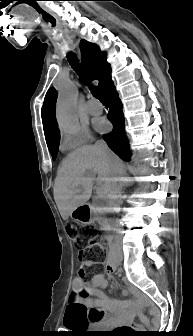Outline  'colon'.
I'll return each instance as SVG.
<instances>
[{
  "label": "colon",
  "mask_w": 193,
  "mask_h": 336,
  "mask_svg": "<svg viewBox=\"0 0 193 336\" xmlns=\"http://www.w3.org/2000/svg\"><path fill=\"white\" fill-rule=\"evenodd\" d=\"M67 233L71 239L74 240L79 247V256L83 263L97 262L102 256V248L95 235H91L88 241L85 243L79 236L77 228L74 224L67 226ZM80 274H85V269L80 270ZM146 335V334H140Z\"/></svg>",
  "instance_id": "5ec220e1"
}]
</instances>
